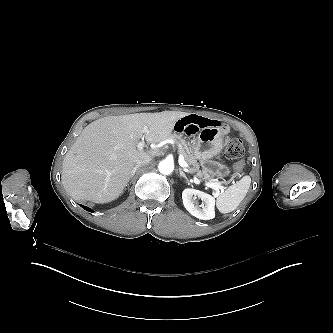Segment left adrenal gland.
<instances>
[{"instance_id":"1","label":"left adrenal gland","mask_w":333,"mask_h":333,"mask_svg":"<svg viewBox=\"0 0 333 333\" xmlns=\"http://www.w3.org/2000/svg\"><path fill=\"white\" fill-rule=\"evenodd\" d=\"M180 170V175L182 176V177H184L188 182H189V176H187L185 173H184V171H183V169L182 168H180L179 169Z\"/></svg>"}]
</instances>
